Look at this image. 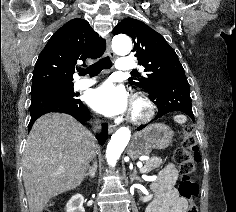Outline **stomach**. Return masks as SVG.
<instances>
[{
    "mask_svg": "<svg viewBox=\"0 0 236 212\" xmlns=\"http://www.w3.org/2000/svg\"><path fill=\"white\" fill-rule=\"evenodd\" d=\"M173 135L169 126L163 123L151 124L135 133L128 153L130 157L137 158L149 154L152 149H165L172 142Z\"/></svg>",
    "mask_w": 236,
    "mask_h": 212,
    "instance_id": "0dacf381",
    "label": "stomach"
}]
</instances>
